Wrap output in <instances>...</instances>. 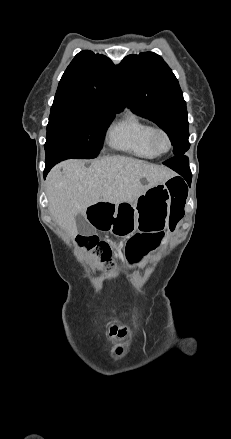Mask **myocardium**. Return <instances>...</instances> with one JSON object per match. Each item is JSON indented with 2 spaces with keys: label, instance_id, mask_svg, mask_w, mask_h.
<instances>
[{
  "label": "myocardium",
  "instance_id": "1",
  "mask_svg": "<svg viewBox=\"0 0 231 439\" xmlns=\"http://www.w3.org/2000/svg\"><path fill=\"white\" fill-rule=\"evenodd\" d=\"M163 138L165 142V147L160 148L158 146V138ZM150 144L152 149L156 152L158 155H163L168 153L172 147H173V141L170 133L163 127H153L151 133H150Z\"/></svg>",
  "mask_w": 231,
  "mask_h": 439
}]
</instances>
